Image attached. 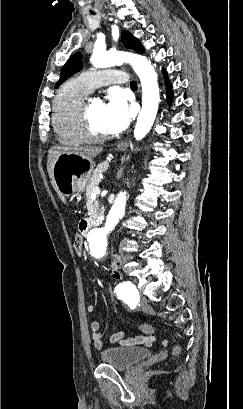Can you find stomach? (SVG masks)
Listing matches in <instances>:
<instances>
[{
  "mask_svg": "<svg viewBox=\"0 0 243 409\" xmlns=\"http://www.w3.org/2000/svg\"><path fill=\"white\" fill-rule=\"evenodd\" d=\"M93 168L92 161L74 153H62L53 165L57 190L64 196L83 192Z\"/></svg>",
  "mask_w": 243,
  "mask_h": 409,
  "instance_id": "1",
  "label": "stomach"
}]
</instances>
